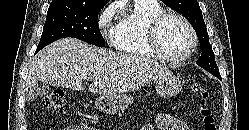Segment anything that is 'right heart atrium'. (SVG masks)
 <instances>
[{
  "instance_id": "right-heart-atrium-1",
  "label": "right heart atrium",
  "mask_w": 249,
  "mask_h": 130,
  "mask_svg": "<svg viewBox=\"0 0 249 130\" xmlns=\"http://www.w3.org/2000/svg\"><path fill=\"white\" fill-rule=\"evenodd\" d=\"M117 9V4L111 3L100 12L97 18L98 27L102 30H107L110 37L114 29L112 22L116 15Z\"/></svg>"
}]
</instances>
